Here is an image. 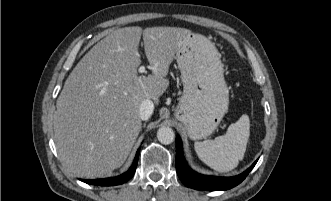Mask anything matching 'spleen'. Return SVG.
Masks as SVG:
<instances>
[{
    "label": "spleen",
    "mask_w": 331,
    "mask_h": 201,
    "mask_svg": "<svg viewBox=\"0 0 331 201\" xmlns=\"http://www.w3.org/2000/svg\"><path fill=\"white\" fill-rule=\"evenodd\" d=\"M250 136L248 115L232 123L222 136L214 140L195 142L194 148L201 161L218 172H229L243 159Z\"/></svg>",
    "instance_id": "3e777b00"
}]
</instances>
